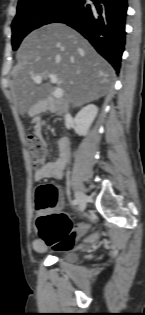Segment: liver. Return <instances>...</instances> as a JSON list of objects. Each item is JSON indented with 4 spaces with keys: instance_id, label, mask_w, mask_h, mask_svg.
<instances>
[{
    "instance_id": "6515ba94",
    "label": "liver",
    "mask_w": 145,
    "mask_h": 315,
    "mask_svg": "<svg viewBox=\"0 0 145 315\" xmlns=\"http://www.w3.org/2000/svg\"><path fill=\"white\" fill-rule=\"evenodd\" d=\"M12 76V97L19 112L32 115L36 104L48 101L50 107L63 110L66 100L74 107L105 96L115 76L112 66L74 29L50 24L31 32L17 51ZM57 77L64 98L53 102L54 89L47 81ZM40 75L41 83L34 77Z\"/></svg>"
}]
</instances>
